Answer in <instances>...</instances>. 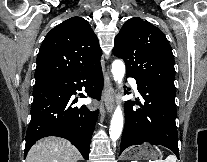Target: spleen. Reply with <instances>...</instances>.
<instances>
[{"instance_id":"obj_1","label":"spleen","mask_w":207,"mask_h":162,"mask_svg":"<svg viewBox=\"0 0 207 162\" xmlns=\"http://www.w3.org/2000/svg\"><path fill=\"white\" fill-rule=\"evenodd\" d=\"M176 160H177V157L175 155H169L165 160H159L157 162H176Z\"/></svg>"}]
</instances>
